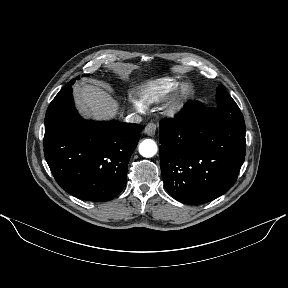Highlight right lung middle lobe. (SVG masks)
Masks as SVG:
<instances>
[{
    "label": "right lung middle lobe",
    "mask_w": 288,
    "mask_h": 288,
    "mask_svg": "<svg viewBox=\"0 0 288 288\" xmlns=\"http://www.w3.org/2000/svg\"><path fill=\"white\" fill-rule=\"evenodd\" d=\"M84 76H89V74H84ZM77 78H79V77H77ZM74 82H75V79L71 80L67 85H69V84H73ZM67 85H66V86H67ZM66 86L63 87V88L60 90V92L63 91V90H65V89H67Z\"/></svg>",
    "instance_id": "right-lung-middle-lobe-1"
}]
</instances>
